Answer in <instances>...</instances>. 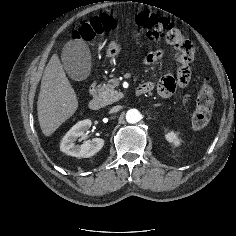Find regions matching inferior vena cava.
<instances>
[{"label": "inferior vena cava", "instance_id": "obj_1", "mask_svg": "<svg viewBox=\"0 0 236 236\" xmlns=\"http://www.w3.org/2000/svg\"><path fill=\"white\" fill-rule=\"evenodd\" d=\"M121 109V106L117 105L111 108L110 113L118 112Z\"/></svg>", "mask_w": 236, "mask_h": 236}]
</instances>
